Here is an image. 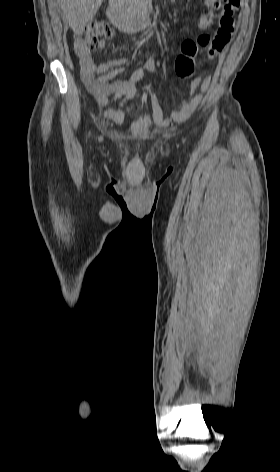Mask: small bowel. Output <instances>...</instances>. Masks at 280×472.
Returning a JSON list of instances; mask_svg holds the SVG:
<instances>
[{"instance_id":"1","label":"small bowel","mask_w":280,"mask_h":472,"mask_svg":"<svg viewBox=\"0 0 280 472\" xmlns=\"http://www.w3.org/2000/svg\"><path fill=\"white\" fill-rule=\"evenodd\" d=\"M205 5L213 8L212 0H204ZM213 25V14L211 12L202 14L199 19V26L202 30L208 31ZM235 33V22L227 25L220 22L216 34L212 37L209 34H203L198 39H187L182 43V54L178 59H188L194 62L195 57L202 49L208 51V55L213 57L220 54L230 42ZM105 41L99 42V47L103 48ZM75 52L79 58L81 66V79L99 105L104 109V114L111 120H120L122 117L123 105L133 97L136 91V85L145 77H153L157 73V67L154 59H146L141 68L132 73L128 80H115L113 78L125 72L126 59H111L103 63H95L93 56L87 45L75 41ZM211 78L209 76H198L192 83L189 96L171 111L170 119L176 122H182L190 117L203 99L210 87ZM144 90L150 94L155 121L160 125H167L169 120L163 119L162 109L156 95L152 91L150 81L145 82ZM199 90V92H197ZM123 97L119 109H112L111 104L114 100Z\"/></svg>"}]
</instances>
